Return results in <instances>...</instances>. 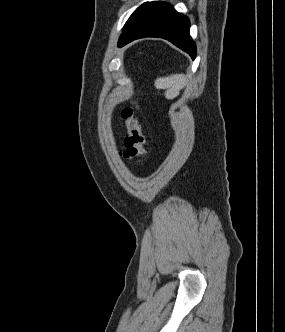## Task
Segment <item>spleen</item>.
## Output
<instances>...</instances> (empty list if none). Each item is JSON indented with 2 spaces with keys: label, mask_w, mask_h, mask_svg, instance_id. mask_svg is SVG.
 <instances>
[{
  "label": "spleen",
  "mask_w": 285,
  "mask_h": 332,
  "mask_svg": "<svg viewBox=\"0 0 285 332\" xmlns=\"http://www.w3.org/2000/svg\"><path fill=\"white\" fill-rule=\"evenodd\" d=\"M186 85V77L183 74H172L167 77H160L155 80L157 89H165V97L174 99Z\"/></svg>",
  "instance_id": "1"
}]
</instances>
